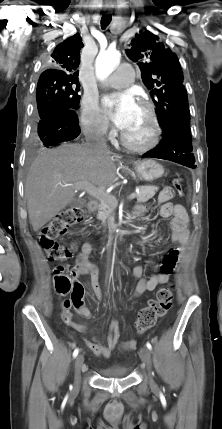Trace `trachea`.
<instances>
[{
	"label": "trachea",
	"mask_w": 222,
	"mask_h": 429,
	"mask_svg": "<svg viewBox=\"0 0 222 429\" xmlns=\"http://www.w3.org/2000/svg\"><path fill=\"white\" fill-rule=\"evenodd\" d=\"M112 16L110 14L103 15L101 18V28L105 29L111 22Z\"/></svg>",
	"instance_id": "1"
}]
</instances>
